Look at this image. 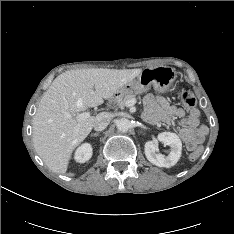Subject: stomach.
<instances>
[{"label": "stomach", "mask_w": 234, "mask_h": 234, "mask_svg": "<svg viewBox=\"0 0 234 234\" xmlns=\"http://www.w3.org/2000/svg\"><path fill=\"white\" fill-rule=\"evenodd\" d=\"M175 80L174 69L166 66L145 68L141 71L137 79H133L124 84L116 93L122 96L137 95L147 92L151 87L159 93L170 91Z\"/></svg>", "instance_id": "0dacf381"}]
</instances>
